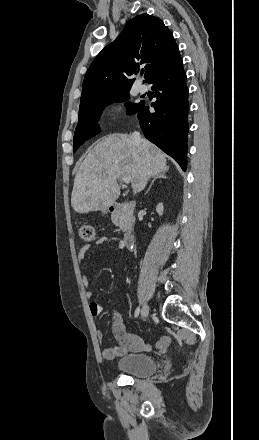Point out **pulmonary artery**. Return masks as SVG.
Listing matches in <instances>:
<instances>
[{
	"mask_svg": "<svg viewBox=\"0 0 259 440\" xmlns=\"http://www.w3.org/2000/svg\"><path fill=\"white\" fill-rule=\"evenodd\" d=\"M138 91L140 93H145L147 91V87L145 85L141 84V85L138 86Z\"/></svg>",
	"mask_w": 259,
	"mask_h": 440,
	"instance_id": "1",
	"label": "pulmonary artery"
}]
</instances>
